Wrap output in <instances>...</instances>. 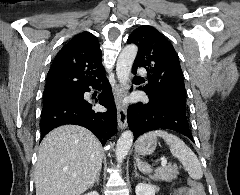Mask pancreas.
Wrapping results in <instances>:
<instances>
[{"label":"pancreas","mask_w":240,"mask_h":195,"mask_svg":"<svg viewBox=\"0 0 240 195\" xmlns=\"http://www.w3.org/2000/svg\"><path fill=\"white\" fill-rule=\"evenodd\" d=\"M178 167L177 165H165V167H158L153 175H149L151 179H155V181H172L177 177Z\"/></svg>","instance_id":"obj_1"}]
</instances>
